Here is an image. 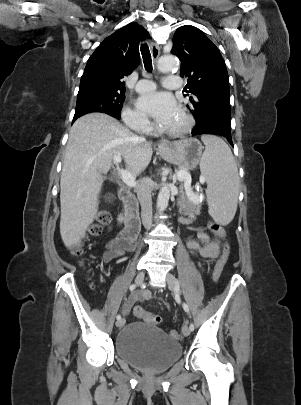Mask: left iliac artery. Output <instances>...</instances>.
<instances>
[{
  "label": "left iliac artery",
  "mask_w": 301,
  "mask_h": 405,
  "mask_svg": "<svg viewBox=\"0 0 301 405\" xmlns=\"http://www.w3.org/2000/svg\"><path fill=\"white\" fill-rule=\"evenodd\" d=\"M176 290H177V291L179 290V283H178V282H177ZM183 308H184V310H185L187 313H189V307H188L187 304L184 303V304H183ZM189 329H190L191 331L194 330V325H193V323L190 324Z\"/></svg>",
  "instance_id": "44dca946"
}]
</instances>
